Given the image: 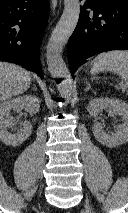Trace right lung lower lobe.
<instances>
[{
  "mask_svg": "<svg viewBox=\"0 0 128 213\" xmlns=\"http://www.w3.org/2000/svg\"><path fill=\"white\" fill-rule=\"evenodd\" d=\"M49 0H0V59L14 60L42 77L40 44Z\"/></svg>",
  "mask_w": 128,
  "mask_h": 213,
  "instance_id": "98d812e1",
  "label": "right lung lower lobe"
}]
</instances>
